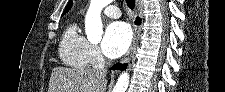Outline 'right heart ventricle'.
Wrapping results in <instances>:
<instances>
[{
	"label": "right heart ventricle",
	"mask_w": 225,
	"mask_h": 92,
	"mask_svg": "<svg viewBox=\"0 0 225 92\" xmlns=\"http://www.w3.org/2000/svg\"><path fill=\"white\" fill-rule=\"evenodd\" d=\"M90 42L79 33L76 23H70L63 32L59 55L61 60L74 68H85L88 64Z\"/></svg>",
	"instance_id": "right-heart-ventricle-1"
}]
</instances>
